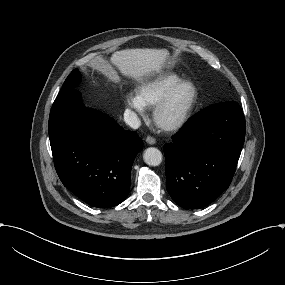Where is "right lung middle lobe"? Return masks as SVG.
Here are the masks:
<instances>
[{"instance_id":"dd1d6c3e","label":"right lung middle lobe","mask_w":285,"mask_h":285,"mask_svg":"<svg viewBox=\"0 0 285 285\" xmlns=\"http://www.w3.org/2000/svg\"><path fill=\"white\" fill-rule=\"evenodd\" d=\"M80 80H81V74L79 70L74 69L65 80L60 93L66 90L74 89L78 85Z\"/></svg>"}]
</instances>
